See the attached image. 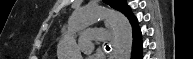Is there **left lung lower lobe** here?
<instances>
[{"mask_svg":"<svg viewBox=\"0 0 193 59\" xmlns=\"http://www.w3.org/2000/svg\"><path fill=\"white\" fill-rule=\"evenodd\" d=\"M133 30V46H132V59H142V40L141 31L138 27L136 17L130 15L128 17Z\"/></svg>","mask_w":193,"mask_h":59,"instance_id":"obj_1","label":"left lung lower lobe"}]
</instances>
